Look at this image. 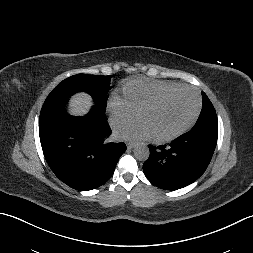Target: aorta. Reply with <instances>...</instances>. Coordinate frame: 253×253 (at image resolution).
<instances>
[{"instance_id": "aorta-1", "label": "aorta", "mask_w": 253, "mask_h": 253, "mask_svg": "<svg viewBox=\"0 0 253 253\" xmlns=\"http://www.w3.org/2000/svg\"><path fill=\"white\" fill-rule=\"evenodd\" d=\"M149 148L144 143H139L134 147V156L139 161H146L149 158Z\"/></svg>"}]
</instances>
